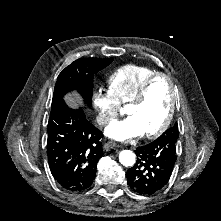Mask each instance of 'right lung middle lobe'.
Listing matches in <instances>:
<instances>
[{
	"label": "right lung middle lobe",
	"mask_w": 221,
	"mask_h": 221,
	"mask_svg": "<svg viewBox=\"0 0 221 221\" xmlns=\"http://www.w3.org/2000/svg\"><path fill=\"white\" fill-rule=\"evenodd\" d=\"M113 61V58H80L67 66L58 76L55 84L52 106L53 109L63 102V96L77 90L90 105L93 91V76Z\"/></svg>",
	"instance_id": "dd1d6c3e"
}]
</instances>
